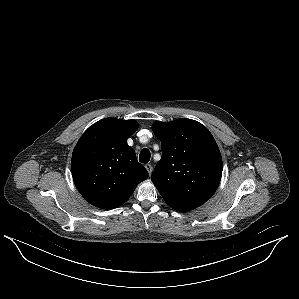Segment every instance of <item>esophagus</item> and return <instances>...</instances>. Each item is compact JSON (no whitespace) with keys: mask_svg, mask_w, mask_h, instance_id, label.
Segmentation results:
<instances>
[{"mask_svg":"<svg viewBox=\"0 0 299 299\" xmlns=\"http://www.w3.org/2000/svg\"><path fill=\"white\" fill-rule=\"evenodd\" d=\"M145 168L147 169L149 175H151L153 172V166L151 164H146Z\"/></svg>","mask_w":299,"mask_h":299,"instance_id":"obj_1","label":"esophagus"}]
</instances>
